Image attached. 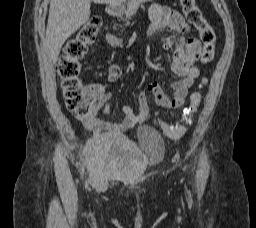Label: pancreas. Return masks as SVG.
Here are the masks:
<instances>
[{
    "mask_svg": "<svg viewBox=\"0 0 256 228\" xmlns=\"http://www.w3.org/2000/svg\"><path fill=\"white\" fill-rule=\"evenodd\" d=\"M150 0H129L127 4L126 17L130 18L134 15L141 3L147 2Z\"/></svg>",
    "mask_w": 256,
    "mask_h": 228,
    "instance_id": "cf45deb5",
    "label": "pancreas"
}]
</instances>
